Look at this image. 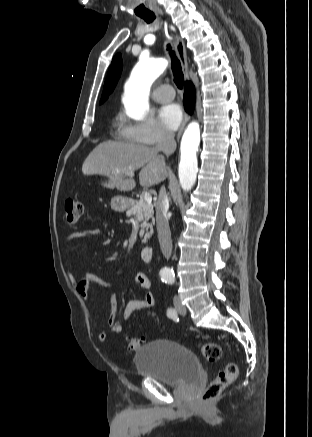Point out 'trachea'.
Instances as JSON below:
<instances>
[{
    "label": "trachea",
    "mask_w": 312,
    "mask_h": 437,
    "mask_svg": "<svg viewBox=\"0 0 312 437\" xmlns=\"http://www.w3.org/2000/svg\"><path fill=\"white\" fill-rule=\"evenodd\" d=\"M140 18H142L146 23H152L155 20L154 14H145V15H139ZM167 49L169 50L170 56H171V64H172V71L174 75V81L175 84L179 89L183 88V82H184V75L182 72L180 61L177 59L174 51L171 50V46L168 45Z\"/></svg>",
    "instance_id": "1"
}]
</instances>
